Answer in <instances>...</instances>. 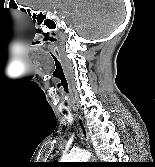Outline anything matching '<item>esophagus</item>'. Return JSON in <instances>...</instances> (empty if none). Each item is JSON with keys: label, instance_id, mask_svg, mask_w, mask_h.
I'll return each mask as SVG.
<instances>
[{"label": "esophagus", "instance_id": "esophagus-1", "mask_svg": "<svg viewBox=\"0 0 155 167\" xmlns=\"http://www.w3.org/2000/svg\"><path fill=\"white\" fill-rule=\"evenodd\" d=\"M78 125H79V129H80V132H81V136L84 139L87 147L89 148L90 147L89 133H88V130H87V127L84 123L83 118L80 117V116H78Z\"/></svg>", "mask_w": 155, "mask_h": 167}]
</instances>
